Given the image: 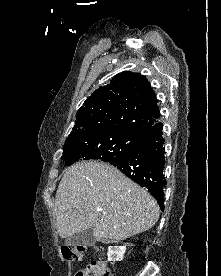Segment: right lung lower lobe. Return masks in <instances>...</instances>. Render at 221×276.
<instances>
[{
  "label": "right lung lower lobe",
  "mask_w": 221,
  "mask_h": 276,
  "mask_svg": "<svg viewBox=\"0 0 221 276\" xmlns=\"http://www.w3.org/2000/svg\"><path fill=\"white\" fill-rule=\"evenodd\" d=\"M162 129L163 124L156 123L132 151L109 163L134 182L146 187L163 211L166 180L164 178L165 147Z\"/></svg>",
  "instance_id": "1"
}]
</instances>
